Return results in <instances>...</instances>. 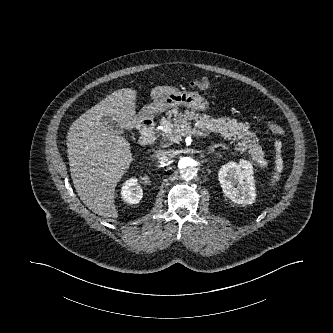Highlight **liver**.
Segmentation results:
<instances>
[{
  "label": "liver",
  "instance_id": "liver-1",
  "mask_svg": "<svg viewBox=\"0 0 333 333\" xmlns=\"http://www.w3.org/2000/svg\"><path fill=\"white\" fill-rule=\"evenodd\" d=\"M177 89L157 86L150 96L158 100ZM134 89L114 91L75 120L67 135V152L74 188L82 202L94 213L118 217L115 187L133 161L129 142L110 128L109 117L122 129L137 128L143 116L136 114Z\"/></svg>",
  "mask_w": 333,
  "mask_h": 333
}]
</instances>
